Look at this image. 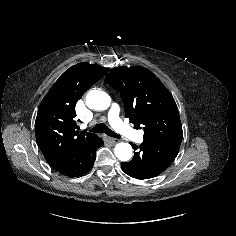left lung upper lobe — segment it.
<instances>
[{
	"label": "left lung upper lobe",
	"instance_id": "left-lung-upper-lobe-1",
	"mask_svg": "<svg viewBox=\"0 0 236 236\" xmlns=\"http://www.w3.org/2000/svg\"><path fill=\"white\" fill-rule=\"evenodd\" d=\"M105 80L120 92L125 115L134 127H143L144 140L183 137L175 100L150 70L121 66L113 69Z\"/></svg>",
	"mask_w": 236,
	"mask_h": 236
}]
</instances>
